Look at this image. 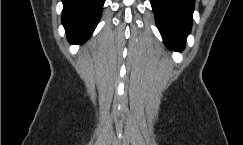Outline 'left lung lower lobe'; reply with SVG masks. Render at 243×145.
I'll return each instance as SVG.
<instances>
[{
    "instance_id": "left-lung-lower-lobe-1",
    "label": "left lung lower lobe",
    "mask_w": 243,
    "mask_h": 145,
    "mask_svg": "<svg viewBox=\"0 0 243 145\" xmlns=\"http://www.w3.org/2000/svg\"><path fill=\"white\" fill-rule=\"evenodd\" d=\"M194 3V0H151L157 27L169 49H184L191 31Z\"/></svg>"
}]
</instances>
